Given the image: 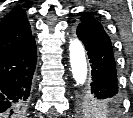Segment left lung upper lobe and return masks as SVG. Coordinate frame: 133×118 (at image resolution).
<instances>
[{"mask_svg": "<svg viewBox=\"0 0 133 118\" xmlns=\"http://www.w3.org/2000/svg\"><path fill=\"white\" fill-rule=\"evenodd\" d=\"M106 34L102 24L89 13L83 12L80 18V24ZM77 111L82 116H93L113 112L118 109L120 101L113 99L95 100L88 89H83L77 96Z\"/></svg>", "mask_w": 133, "mask_h": 118, "instance_id": "left-lung-upper-lobe-1", "label": "left lung upper lobe"}]
</instances>
